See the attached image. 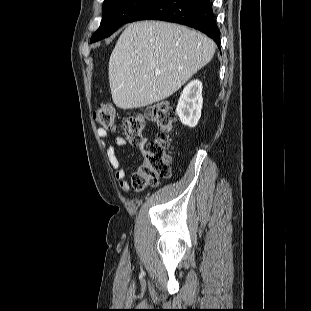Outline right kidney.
Returning <instances> with one entry per match:
<instances>
[{
	"label": "right kidney",
	"mask_w": 311,
	"mask_h": 311,
	"mask_svg": "<svg viewBox=\"0 0 311 311\" xmlns=\"http://www.w3.org/2000/svg\"><path fill=\"white\" fill-rule=\"evenodd\" d=\"M202 104V83L193 80L183 89L176 108L182 124L195 127L201 117Z\"/></svg>",
	"instance_id": "ca27d5eb"
}]
</instances>
